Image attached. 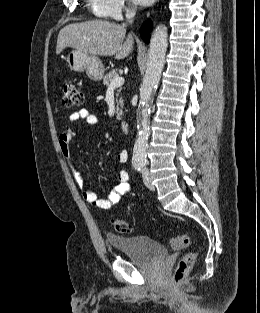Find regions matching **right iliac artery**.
I'll list each match as a JSON object with an SVG mask.
<instances>
[{
    "instance_id": "1",
    "label": "right iliac artery",
    "mask_w": 260,
    "mask_h": 313,
    "mask_svg": "<svg viewBox=\"0 0 260 313\" xmlns=\"http://www.w3.org/2000/svg\"><path fill=\"white\" fill-rule=\"evenodd\" d=\"M134 168L137 170V171H140L142 169V166L141 165H135Z\"/></svg>"
}]
</instances>
